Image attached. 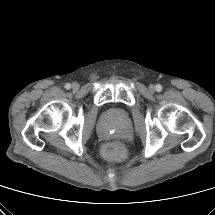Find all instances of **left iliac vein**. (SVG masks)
I'll use <instances>...</instances> for the list:
<instances>
[{"instance_id": "4c4485c4", "label": "left iliac vein", "mask_w": 215, "mask_h": 215, "mask_svg": "<svg viewBox=\"0 0 215 215\" xmlns=\"http://www.w3.org/2000/svg\"><path fill=\"white\" fill-rule=\"evenodd\" d=\"M155 90H156V87H155L154 85H150V86H149V91H150L151 93H154Z\"/></svg>"}]
</instances>
